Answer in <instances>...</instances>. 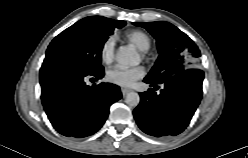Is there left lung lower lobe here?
<instances>
[{"instance_id": "1", "label": "left lung lower lobe", "mask_w": 248, "mask_h": 158, "mask_svg": "<svg viewBox=\"0 0 248 158\" xmlns=\"http://www.w3.org/2000/svg\"><path fill=\"white\" fill-rule=\"evenodd\" d=\"M203 78V71L187 69L163 82L160 94L151 88L140 93V104L133 111L140 129L155 137L175 136L184 131L200 103ZM144 82L151 87L162 84L146 77Z\"/></svg>"}]
</instances>
